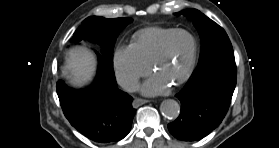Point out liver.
Wrapping results in <instances>:
<instances>
[{"instance_id": "obj_1", "label": "liver", "mask_w": 279, "mask_h": 148, "mask_svg": "<svg viewBox=\"0 0 279 148\" xmlns=\"http://www.w3.org/2000/svg\"><path fill=\"white\" fill-rule=\"evenodd\" d=\"M96 57L86 48H74L68 52L66 69L74 85H83L92 79L96 70Z\"/></svg>"}]
</instances>
